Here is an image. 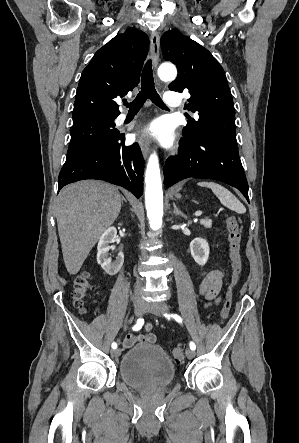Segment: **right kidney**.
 Returning a JSON list of instances; mask_svg holds the SVG:
<instances>
[{
  "instance_id": "right-kidney-1",
  "label": "right kidney",
  "mask_w": 299,
  "mask_h": 443,
  "mask_svg": "<svg viewBox=\"0 0 299 443\" xmlns=\"http://www.w3.org/2000/svg\"><path fill=\"white\" fill-rule=\"evenodd\" d=\"M117 237V230L115 227H110L104 231L99 239L97 247V262L101 265L102 269L109 275L117 274L124 262V255L122 252L118 254L115 262L111 261L108 256L110 250V243H113Z\"/></svg>"
}]
</instances>
